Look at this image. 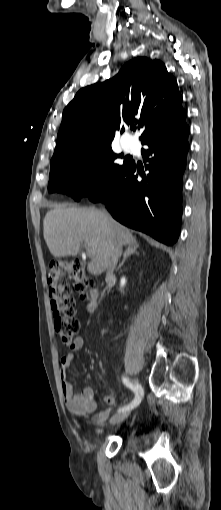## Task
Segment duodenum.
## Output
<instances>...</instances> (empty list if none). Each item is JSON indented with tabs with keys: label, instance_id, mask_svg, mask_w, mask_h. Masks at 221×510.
<instances>
[{
	"label": "duodenum",
	"instance_id": "obj_1",
	"mask_svg": "<svg viewBox=\"0 0 221 510\" xmlns=\"http://www.w3.org/2000/svg\"><path fill=\"white\" fill-rule=\"evenodd\" d=\"M96 299H97V293L94 291L91 294V300H90V302L88 304V310L89 311H92V310L95 309V307H96Z\"/></svg>",
	"mask_w": 221,
	"mask_h": 510
}]
</instances>
